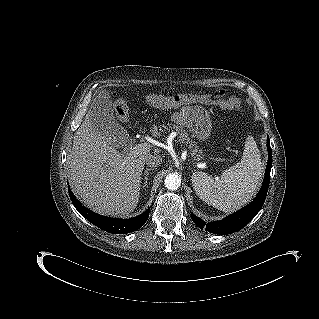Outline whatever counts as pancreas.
I'll list each match as a JSON object with an SVG mask.
<instances>
[{
    "mask_svg": "<svg viewBox=\"0 0 319 319\" xmlns=\"http://www.w3.org/2000/svg\"><path fill=\"white\" fill-rule=\"evenodd\" d=\"M169 128L174 129L178 136H179V141L185 144L189 145V149L192 153V155H202V150L199 149V146H197V143L195 141L190 140L188 134L186 132H184V130H182L181 128H179L178 126L174 125V124H168ZM165 127V129L167 131H169L170 129ZM162 132H164L163 130L159 129L157 126L153 127L152 130V134L153 136H161Z\"/></svg>",
    "mask_w": 319,
    "mask_h": 319,
    "instance_id": "1",
    "label": "pancreas"
}]
</instances>
